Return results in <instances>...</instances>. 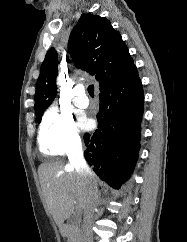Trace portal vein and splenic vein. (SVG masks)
I'll return each mask as SVG.
<instances>
[{
	"mask_svg": "<svg viewBox=\"0 0 187 242\" xmlns=\"http://www.w3.org/2000/svg\"><path fill=\"white\" fill-rule=\"evenodd\" d=\"M74 203L76 204L77 202L76 201H74ZM80 209V207L79 206H77V210H79Z\"/></svg>",
	"mask_w": 187,
	"mask_h": 242,
	"instance_id": "portal-vein-and-splenic-vein-1",
	"label": "portal vein and splenic vein"
}]
</instances>
